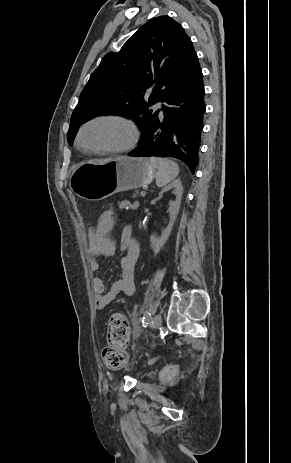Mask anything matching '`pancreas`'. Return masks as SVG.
Masks as SVG:
<instances>
[{"label":"pancreas","instance_id":"obj_1","mask_svg":"<svg viewBox=\"0 0 291 463\" xmlns=\"http://www.w3.org/2000/svg\"><path fill=\"white\" fill-rule=\"evenodd\" d=\"M138 195H139V192H138V191H135V192L132 193V197H133V198H137Z\"/></svg>","mask_w":291,"mask_h":463}]
</instances>
